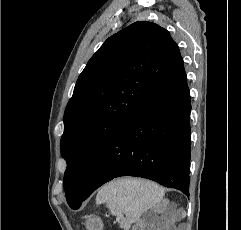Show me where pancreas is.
Wrapping results in <instances>:
<instances>
[{
  "label": "pancreas",
  "instance_id": "1",
  "mask_svg": "<svg viewBox=\"0 0 241 230\" xmlns=\"http://www.w3.org/2000/svg\"><path fill=\"white\" fill-rule=\"evenodd\" d=\"M119 225H120V227L123 228L124 230H127V228H128V223H127L126 220H121V221H119Z\"/></svg>",
  "mask_w": 241,
  "mask_h": 230
}]
</instances>
